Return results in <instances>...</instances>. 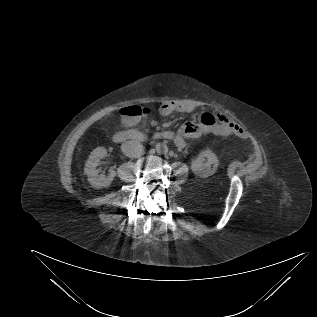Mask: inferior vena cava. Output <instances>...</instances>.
<instances>
[{"label": "inferior vena cava", "mask_w": 317, "mask_h": 317, "mask_svg": "<svg viewBox=\"0 0 317 317\" xmlns=\"http://www.w3.org/2000/svg\"><path fill=\"white\" fill-rule=\"evenodd\" d=\"M121 150L127 157L139 158L144 152V147L137 140H129L122 143Z\"/></svg>", "instance_id": "obj_1"}]
</instances>
